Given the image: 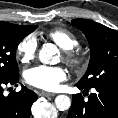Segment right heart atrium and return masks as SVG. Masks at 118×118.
<instances>
[{
	"label": "right heart atrium",
	"mask_w": 118,
	"mask_h": 118,
	"mask_svg": "<svg viewBox=\"0 0 118 118\" xmlns=\"http://www.w3.org/2000/svg\"><path fill=\"white\" fill-rule=\"evenodd\" d=\"M38 49V40L34 34L26 35L16 47V56L22 63H28L34 59Z\"/></svg>",
	"instance_id": "1"
}]
</instances>
